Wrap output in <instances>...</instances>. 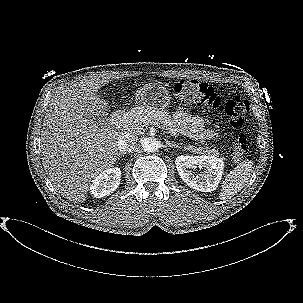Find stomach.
I'll return each mask as SVG.
<instances>
[{"mask_svg":"<svg viewBox=\"0 0 303 303\" xmlns=\"http://www.w3.org/2000/svg\"><path fill=\"white\" fill-rule=\"evenodd\" d=\"M138 99L141 107L149 110H161L170 104L169 92L160 82L145 84Z\"/></svg>","mask_w":303,"mask_h":303,"instance_id":"1","label":"stomach"}]
</instances>
